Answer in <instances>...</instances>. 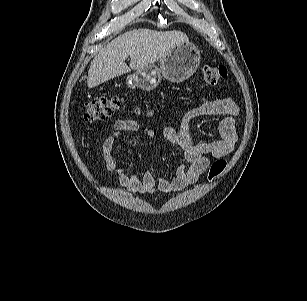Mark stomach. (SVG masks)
<instances>
[{
	"label": "stomach",
	"instance_id": "obj_1",
	"mask_svg": "<svg viewBox=\"0 0 307 301\" xmlns=\"http://www.w3.org/2000/svg\"><path fill=\"white\" fill-rule=\"evenodd\" d=\"M200 61V49L192 43L182 42L175 45L167 55L160 59L159 67L150 64L129 75L126 85L130 89L139 88L151 91L159 85L162 77L173 83H181L196 72Z\"/></svg>",
	"mask_w": 307,
	"mask_h": 301
}]
</instances>
